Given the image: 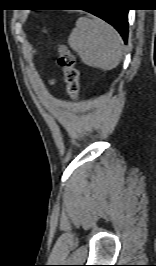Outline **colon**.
I'll list each match as a JSON object with an SVG mask.
<instances>
[{
    "label": "colon",
    "instance_id": "colon-1",
    "mask_svg": "<svg viewBox=\"0 0 156 266\" xmlns=\"http://www.w3.org/2000/svg\"><path fill=\"white\" fill-rule=\"evenodd\" d=\"M57 50L59 54L58 63L64 73L67 94L75 101L79 94V71L76 67L75 56L64 44L58 43Z\"/></svg>",
    "mask_w": 156,
    "mask_h": 266
}]
</instances>
